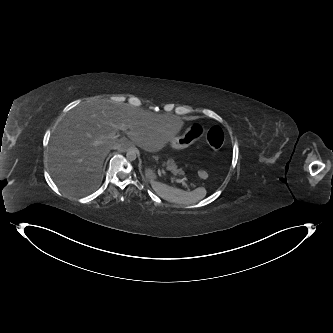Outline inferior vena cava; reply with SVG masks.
Returning a JSON list of instances; mask_svg holds the SVG:
<instances>
[{
  "mask_svg": "<svg viewBox=\"0 0 333 333\" xmlns=\"http://www.w3.org/2000/svg\"><path fill=\"white\" fill-rule=\"evenodd\" d=\"M121 148V146H120V144H114L112 147H111V149H120Z\"/></svg>",
  "mask_w": 333,
  "mask_h": 333,
  "instance_id": "inferior-vena-cava-1",
  "label": "inferior vena cava"
}]
</instances>
